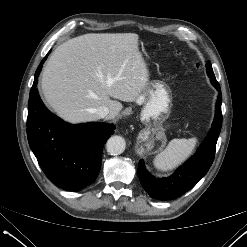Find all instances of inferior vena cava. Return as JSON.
Here are the masks:
<instances>
[{"label": "inferior vena cava", "mask_w": 247, "mask_h": 247, "mask_svg": "<svg viewBox=\"0 0 247 247\" xmlns=\"http://www.w3.org/2000/svg\"><path fill=\"white\" fill-rule=\"evenodd\" d=\"M110 110L107 106H100L95 109V113L99 118H104L109 114Z\"/></svg>", "instance_id": "602c4592"}]
</instances>
